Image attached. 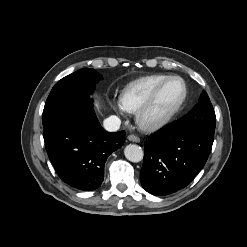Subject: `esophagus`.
Listing matches in <instances>:
<instances>
[{
  "instance_id": "34e87169",
  "label": "esophagus",
  "mask_w": 247,
  "mask_h": 247,
  "mask_svg": "<svg viewBox=\"0 0 247 247\" xmlns=\"http://www.w3.org/2000/svg\"><path fill=\"white\" fill-rule=\"evenodd\" d=\"M128 140L131 141V142H136V143L140 142V138L138 136H136V135H133V134L128 136Z\"/></svg>"
}]
</instances>
